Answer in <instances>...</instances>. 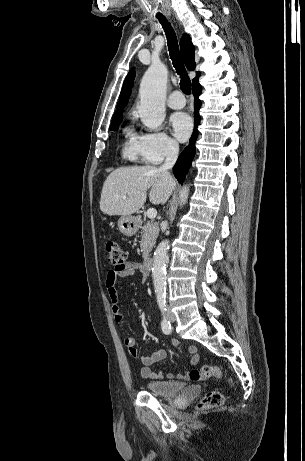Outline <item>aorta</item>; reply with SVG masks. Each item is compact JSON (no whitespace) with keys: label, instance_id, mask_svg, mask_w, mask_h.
<instances>
[{"label":"aorta","instance_id":"aorta-1","mask_svg":"<svg viewBox=\"0 0 305 461\" xmlns=\"http://www.w3.org/2000/svg\"><path fill=\"white\" fill-rule=\"evenodd\" d=\"M168 70L161 62H153L145 72L140 84V105L138 108L142 123L151 129H157L165 119V97ZM189 187L183 185L180 190V206L187 202ZM169 241L163 240L154 252L152 277L157 297L166 293V258Z\"/></svg>","mask_w":305,"mask_h":461}]
</instances>
